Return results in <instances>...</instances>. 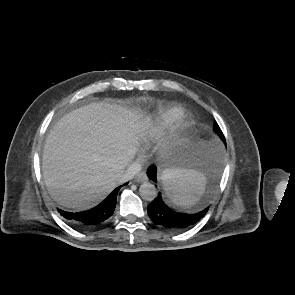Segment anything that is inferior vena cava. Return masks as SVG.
I'll return each instance as SVG.
<instances>
[{
    "label": "inferior vena cava",
    "mask_w": 295,
    "mask_h": 295,
    "mask_svg": "<svg viewBox=\"0 0 295 295\" xmlns=\"http://www.w3.org/2000/svg\"><path fill=\"white\" fill-rule=\"evenodd\" d=\"M142 169V166L138 162H133L128 166L124 174L121 176L122 181H128L132 179L137 173H139Z\"/></svg>",
    "instance_id": "602c4592"
}]
</instances>
